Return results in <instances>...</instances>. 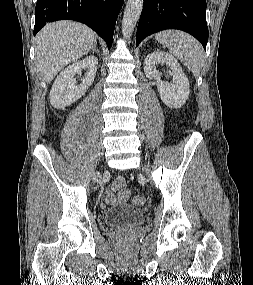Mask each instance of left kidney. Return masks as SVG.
<instances>
[{"instance_id": "5707ae66", "label": "left kidney", "mask_w": 253, "mask_h": 285, "mask_svg": "<svg viewBox=\"0 0 253 285\" xmlns=\"http://www.w3.org/2000/svg\"><path fill=\"white\" fill-rule=\"evenodd\" d=\"M160 64H165L170 69L173 76L172 82L160 79L161 74L157 70ZM144 73L147 78L156 81L160 98L168 107L180 108L188 99L190 93L188 78L171 54L156 51L147 55L144 60Z\"/></svg>"}]
</instances>
